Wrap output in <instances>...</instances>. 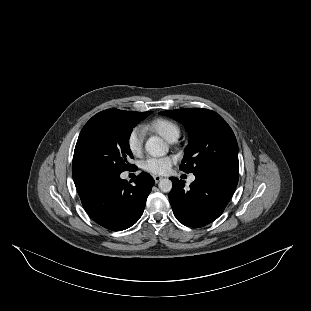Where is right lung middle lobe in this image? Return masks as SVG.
Wrapping results in <instances>:
<instances>
[{"label": "right lung middle lobe", "mask_w": 311, "mask_h": 311, "mask_svg": "<svg viewBox=\"0 0 311 311\" xmlns=\"http://www.w3.org/2000/svg\"><path fill=\"white\" fill-rule=\"evenodd\" d=\"M151 113L108 109L94 115L82 128L75 146L73 179L93 174L120 175L127 170V159L133 158L129 147L132 129Z\"/></svg>", "instance_id": "right-lung-middle-lobe-1"}]
</instances>
